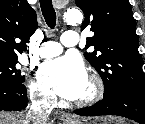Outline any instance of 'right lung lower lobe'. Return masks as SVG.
Masks as SVG:
<instances>
[{
  "mask_svg": "<svg viewBox=\"0 0 145 124\" xmlns=\"http://www.w3.org/2000/svg\"><path fill=\"white\" fill-rule=\"evenodd\" d=\"M27 102L23 83H0V111H18L26 108Z\"/></svg>",
  "mask_w": 145,
  "mask_h": 124,
  "instance_id": "1",
  "label": "right lung lower lobe"
}]
</instances>
